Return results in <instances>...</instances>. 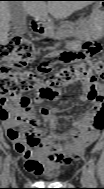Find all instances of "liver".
Returning a JSON list of instances; mask_svg holds the SVG:
<instances>
[{
  "label": "liver",
  "instance_id": "6515ba94",
  "mask_svg": "<svg viewBox=\"0 0 104 189\" xmlns=\"http://www.w3.org/2000/svg\"><path fill=\"white\" fill-rule=\"evenodd\" d=\"M26 14L36 20L46 17L50 13L56 19H62L71 15L74 11L82 9L90 4L89 1H22L20 2ZM8 2H1L0 9V41L5 43L9 32L11 19Z\"/></svg>",
  "mask_w": 104,
  "mask_h": 189
}]
</instances>
